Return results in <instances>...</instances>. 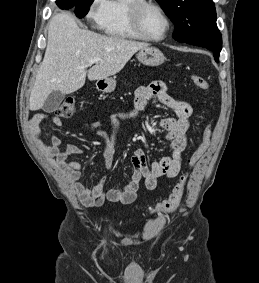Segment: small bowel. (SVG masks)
I'll return each mask as SVG.
<instances>
[{"mask_svg":"<svg viewBox=\"0 0 259 283\" xmlns=\"http://www.w3.org/2000/svg\"><path fill=\"white\" fill-rule=\"evenodd\" d=\"M151 99H157L161 104L167 106L174 113V117L162 118L160 127L166 133L169 143V154L159 161H154L148 167L145 153L137 148L132 154L134 173L128 184L123 189H106V177L102 178L93 186L81 182L82 171L77 162H67L70 155H81L84 151L75 145L61 148V139L53 136L49 143H44L40 136V123L47 118L44 113L35 114L28 123L30 133L39 143L43 151L50 156L54 165L60 170L80 201L88 207H97L106 201L119 202L123 204L132 203L142 184L148 190L157 186L160 177L174 178L181 170V156L187 146V130L189 128L192 107L189 103L171 96L162 82H153L147 86L137 89L134 100V109L126 113H116L111 120V132H107L99 122L86 124V129L93 132L104 140L103 157L106 167L109 169L113 163L116 141L120 135L119 123L126 118H134L142 112ZM51 121L55 126H60L58 117L52 116Z\"/></svg>","mask_w":259,"mask_h":283,"instance_id":"1","label":"small bowel"}]
</instances>
